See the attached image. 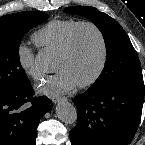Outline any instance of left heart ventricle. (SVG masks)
Segmentation results:
<instances>
[{"mask_svg":"<svg viewBox=\"0 0 145 145\" xmlns=\"http://www.w3.org/2000/svg\"><path fill=\"white\" fill-rule=\"evenodd\" d=\"M101 55L98 35L92 28L83 27L77 33L71 54L57 56L55 70L68 72L79 84L92 77L100 64Z\"/></svg>","mask_w":145,"mask_h":145,"instance_id":"1","label":"left heart ventricle"}]
</instances>
